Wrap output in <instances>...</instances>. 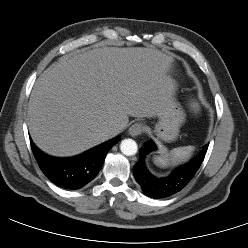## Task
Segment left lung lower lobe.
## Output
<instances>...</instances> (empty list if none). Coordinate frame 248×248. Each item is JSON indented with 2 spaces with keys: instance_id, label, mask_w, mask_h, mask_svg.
<instances>
[{
  "instance_id": "0a47b994",
  "label": "left lung lower lobe",
  "mask_w": 248,
  "mask_h": 248,
  "mask_svg": "<svg viewBox=\"0 0 248 248\" xmlns=\"http://www.w3.org/2000/svg\"><path fill=\"white\" fill-rule=\"evenodd\" d=\"M155 149L156 146L152 141L144 143L143 148L140 149L139 161L134 165L133 174L144 194L150 198L158 199L174 195L191 181L204 160L208 145L204 146L191 161L164 178L151 175L145 166L146 155Z\"/></svg>"
}]
</instances>
